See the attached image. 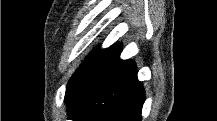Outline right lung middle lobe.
Returning a JSON list of instances; mask_svg holds the SVG:
<instances>
[{
  "instance_id": "dd1d6c3e",
  "label": "right lung middle lobe",
  "mask_w": 217,
  "mask_h": 121,
  "mask_svg": "<svg viewBox=\"0 0 217 121\" xmlns=\"http://www.w3.org/2000/svg\"><path fill=\"white\" fill-rule=\"evenodd\" d=\"M105 50H100L97 48L94 53L88 56L81 66L76 70L74 75L71 77L68 85L67 90L70 89L98 60V58L103 54Z\"/></svg>"
}]
</instances>
